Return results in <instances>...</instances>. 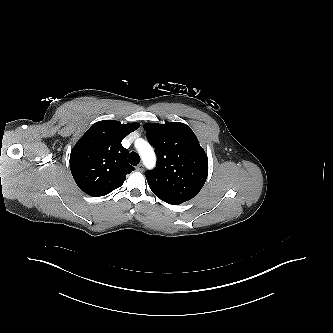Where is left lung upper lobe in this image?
I'll return each mask as SVG.
<instances>
[{
    "mask_svg": "<svg viewBox=\"0 0 333 333\" xmlns=\"http://www.w3.org/2000/svg\"><path fill=\"white\" fill-rule=\"evenodd\" d=\"M157 164L145 173L150 189L165 202L194 198L208 175V158L192 129L184 123H146Z\"/></svg>",
    "mask_w": 333,
    "mask_h": 333,
    "instance_id": "1",
    "label": "left lung upper lobe"
}]
</instances>
